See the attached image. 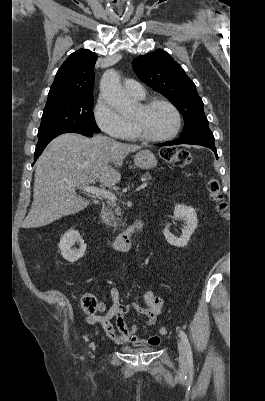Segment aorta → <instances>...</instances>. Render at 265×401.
<instances>
[{"instance_id": "obj_1", "label": "aorta", "mask_w": 265, "mask_h": 401, "mask_svg": "<svg viewBox=\"0 0 265 401\" xmlns=\"http://www.w3.org/2000/svg\"><path fill=\"white\" fill-rule=\"evenodd\" d=\"M100 90L103 98L107 100L110 106H113L118 112H128V98L121 86L118 72L114 68H109L103 72L100 82Z\"/></svg>"}]
</instances>
